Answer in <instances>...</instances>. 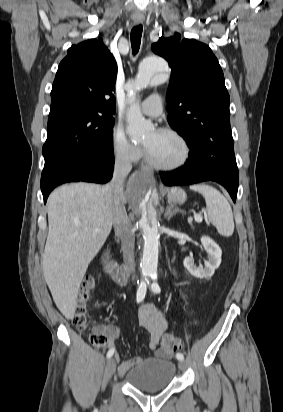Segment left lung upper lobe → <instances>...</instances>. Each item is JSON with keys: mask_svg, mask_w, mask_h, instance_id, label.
Listing matches in <instances>:
<instances>
[{"mask_svg": "<svg viewBox=\"0 0 283 412\" xmlns=\"http://www.w3.org/2000/svg\"><path fill=\"white\" fill-rule=\"evenodd\" d=\"M171 67L168 122L186 140L211 157L228 160V179L239 182L230 127L229 94L217 58L209 46L180 35L161 37L151 46Z\"/></svg>", "mask_w": 283, "mask_h": 412, "instance_id": "5c2ea615", "label": "left lung upper lobe"}]
</instances>
